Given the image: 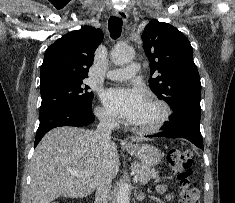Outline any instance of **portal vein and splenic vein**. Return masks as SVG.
Listing matches in <instances>:
<instances>
[{
    "label": "portal vein and splenic vein",
    "mask_w": 235,
    "mask_h": 203,
    "mask_svg": "<svg viewBox=\"0 0 235 203\" xmlns=\"http://www.w3.org/2000/svg\"><path fill=\"white\" fill-rule=\"evenodd\" d=\"M71 174L78 177V178H87L89 176L88 173H85V172H77V171H71ZM133 181L134 182H137L138 181V177L137 176H134L133 178Z\"/></svg>",
    "instance_id": "1"
}]
</instances>
